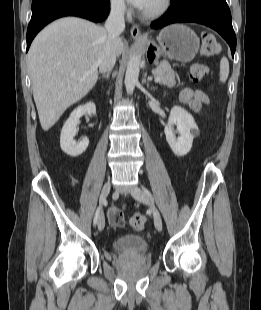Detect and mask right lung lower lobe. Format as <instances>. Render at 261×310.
Segmentation results:
<instances>
[{
  "label": "right lung lower lobe",
  "instance_id": "right-lung-lower-lobe-1",
  "mask_svg": "<svg viewBox=\"0 0 261 310\" xmlns=\"http://www.w3.org/2000/svg\"><path fill=\"white\" fill-rule=\"evenodd\" d=\"M109 10V0H33L27 29V50L36 34L57 18L78 16L99 22L108 16Z\"/></svg>",
  "mask_w": 261,
  "mask_h": 310
}]
</instances>
